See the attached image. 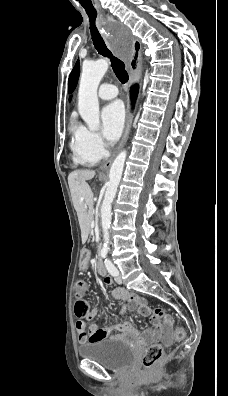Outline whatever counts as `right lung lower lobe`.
Instances as JSON below:
<instances>
[{
  "label": "right lung lower lobe",
  "mask_w": 228,
  "mask_h": 396,
  "mask_svg": "<svg viewBox=\"0 0 228 396\" xmlns=\"http://www.w3.org/2000/svg\"><path fill=\"white\" fill-rule=\"evenodd\" d=\"M137 92H138V87L137 86L133 87L131 90L132 96H136Z\"/></svg>",
  "instance_id": "98d812e1"
}]
</instances>
